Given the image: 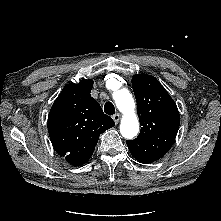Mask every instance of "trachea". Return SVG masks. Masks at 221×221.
<instances>
[{
	"label": "trachea",
	"mask_w": 221,
	"mask_h": 221,
	"mask_svg": "<svg viewBox=\"0 0 221 221\" xmlns=\"http://www.w3.org/2000/svg\"><path fill=\"white\" fill-rule=\"evenodd\" d=\"M104 112L108 115L115 114V107L111 102H107L104 105Z\"/></svg>",
	"instance_id": "obj_1"
}]
</instances>
